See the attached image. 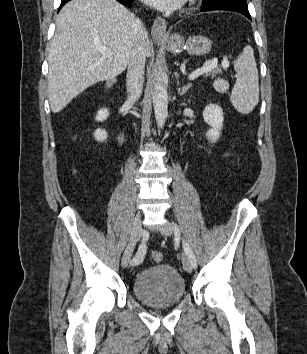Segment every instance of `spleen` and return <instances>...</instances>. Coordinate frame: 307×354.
Instances as JSON below:
<instances>
[{"label": "spleen", "instance_id": "3e777b00", "mask_svg": "<svg viewBox=\"0 0 307 354\" xmlns=\"http://www.w3.org/2000/svg\"><path fill=\"white\" fill-rule=\"evenodd\" d=\"M233 64L237 79L230 101L238 112L248 114L259 101V77L252 47L249 45L244 47ZM213 85L218 92L229 89V83L225 80H217Z\"/></svg>", "mask_w": 307, "mask_h": 354}]
</instances>
